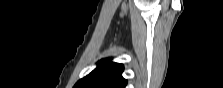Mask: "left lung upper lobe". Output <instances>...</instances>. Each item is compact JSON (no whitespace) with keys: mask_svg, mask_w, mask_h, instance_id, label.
Here are the masks:
<instances>
[{"mask_svg":"<svg viewBox=\"0 0 223 88\" xmlns=\"http://www.w3.org/2000/svg\"><path fill=\"white\" fill-rule=\"evenodd\" d=\"M122 64L103 59L90 74L79 80L74 88H125L127 80L122 77Z\"/></svg>","mask_w":223,"mask_h":88,"instance_id":"5c2ea615","label":"left lung upper lobe"}]
</instances>
